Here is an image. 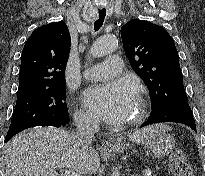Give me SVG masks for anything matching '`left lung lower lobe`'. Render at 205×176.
<instances>
[{
	"mask_svg": "<svg viewBox=\"0 0 205 176\" xmlns=\"http://www.w3.org/2000/svg\"><path fill=\"white\" fill-rule=\"evenodd\" d=\"M161 122L182 123L196 131L195 121L188 104L187 95L178 97L176 101L165 107L152 110L150 117L141 127Z\"/></svg>",
	"mask_w": 205,
	"mask_h": 176,
	"instance_id": "left-lung-lower-lobe-1",
	"label": "left lung lower lobe"
}]
</instances>
